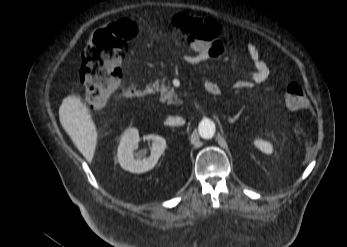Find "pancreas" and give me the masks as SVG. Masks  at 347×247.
<instances>
[{
	"mask_svg": "<svg viewBox=\"0 0 347 247\" xmlns=\"http://www.w3.org/2000/svg\"><path fill=\"white\" fill-rule=\"evenodd\" d=\"M153 87L156 91L160 92V101L161 102H167L168 104H174V105H180L182 104V101L177 99V94L175 93L174 89L166 86L164 83V80L159 81L156 80L153 83Z\"/></svg>",
	"mask_w": 347,
	"mask_h": 247,
	"instance_id": "obj_1",
	"label": "pancreas"
}]
</instances>
